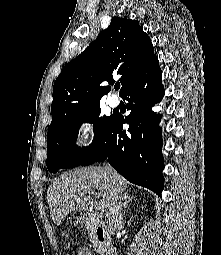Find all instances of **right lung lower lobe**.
<instances>
[{
  "label": "right lung lower lobe",
  "mask_w": 221,
  "mask_h": 255,
  "mask_svg": "<svg viewBox=\"0 0 221 255\" xmlns=\"http://www.w3.org/2000/svg\"><path fill=\"white\" fill-rule=\"evenodd\" d=\"M163 95L156 57L121 95L128 101L129 116L113 115L99 143L81 166L108 159L128 181L161 195L164 183L162 132L158 126L161 115L151 108ZM123 123L129 124L128 131L123 130Z\"/></svg>",
  "instance_id": "1"
}]
</instances>
